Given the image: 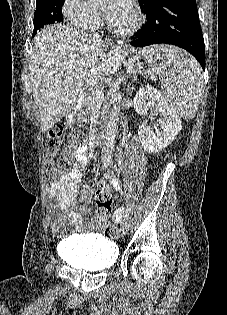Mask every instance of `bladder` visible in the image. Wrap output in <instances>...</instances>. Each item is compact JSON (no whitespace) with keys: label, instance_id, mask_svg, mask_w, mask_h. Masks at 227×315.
<instances>
[{"label":"bladder","instance_id":"bladder-1","mask_svg":"<svg viewBox=\"0 0 227 315\" xmlns=\"http://www.w3.org/2000/svg\"><path fill=\"white\" fill-rule=\"evenodd\" d=\"M59 253L74 268L88 271L113 267L119 254L115 243L98 235L69 237Z\"/></svg>","mask_w":227,"mask_h":315}]
</instances>
